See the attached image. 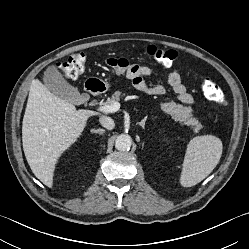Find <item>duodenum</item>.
I'll list each match as a JSON object with an SVG mask.
<instances>
[{
	"label": "duodenum",
	"mask_w": 249,
	"mask_h": 249,
	"mask_svg": "<svg viewBox=\"0 0 249 249\" xmlns=\"http://www.w3.org/2000/svg\"><path fill=\"white\" fill-rule=\"evenodd\" d=\"M86 91L94 96H98L103 91V86L98 82H90L86 83Z\"/></svg>",
	"instance_id": "duodenum-1"
}]
</instances>
